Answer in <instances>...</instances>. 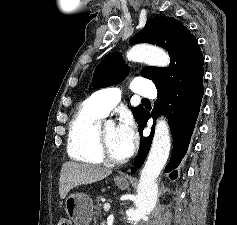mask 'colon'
I'll list each match as a JSON object with an SVG mask.
<instances>
[{
  "label": "colon",
  "mask_w": 237,
  "mask_h": 225,
  "mask_svg": "<svg viewBox=\"0 0 237 225\" xmlns=\"http://www.w3.org/2000/svg\"><path fill=\"white\" fill-rule=\"evenodd\" d=\"M57 225H72L71 221L66 218V217H61L59 218V220L57 221Z\"/></svg>",
  "instance_id": "1"
}]
</instances>
